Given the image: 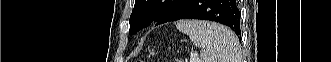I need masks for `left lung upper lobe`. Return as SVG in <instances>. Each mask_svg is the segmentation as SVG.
Listing matches in <instances>:
<instances>
[{"instance_id": "obj_1", "label": "left lung upper lobe", "mask_w": 331, "mask_h": 62, "mask_svg": "<svg viewBox=\"0 0 331 62\" xmlns=\"http://www.w3.org/2000/svg\"><path fill=\"white\" fill-rule=\"evenodd\" d=\"M184 0H135V5L130 16V33H136L137 25L152 21L155 26L166 23L176 12Z\"/></svg>"}]
</instances>
